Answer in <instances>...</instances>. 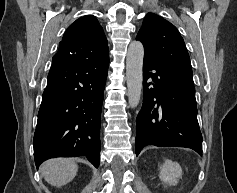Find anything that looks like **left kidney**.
Returning a JSON list of instances; mask_svg holds the SVG:
<instances>
[{"mask_svg":"<svg viewBox=\"0 0 237 193\" xmlns=\"http://www.w3.org/2000/svg\"><path fill=\"white\" fill-rule=\"evenodd\" d=\"M181 176L182 168L177 162L165 160V162L160 166L159 178L163 183L176 185Z\"/></svg>","mask_w":237,"mask_h":193,"instance_id":"5707ae66","label":"left kidney"}]
</instances>
